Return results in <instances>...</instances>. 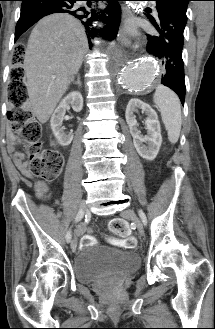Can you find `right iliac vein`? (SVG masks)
<instances>
[{
    "instance_id": "obj_1",
    "label": "right iliac vein",
    "mask_w": 215,
    "mask_h": 329,
    "mask_svg": "<svg viewBox=\"0 0 215 329\" xmlns=\"http://www.w3.org/2000/svg\"><path fill=\"white\" fill-rule=\"evenodd\" d=\"M79 210H80V211L83 213V215H84V213H85V211H86V203H85V201H82V202L80 203ZM76 248H77V239H76V238H73L72 241H71V249H72V251H75Z\"/></svg>"
}]
</instances>
